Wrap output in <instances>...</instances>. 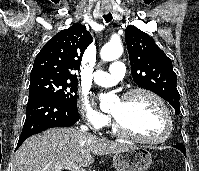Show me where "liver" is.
Returning a JSON list of instances; mask_svg holds the SVG:
<instances>
[{
    "label": "liver",
    "instance_id": "liver-1",
    "mask_svg": "<svg viewBox=\"0 0 199 171\" xmlns=\"http://www.w3.org/2000/svg\"><path fill=\"white\" fill-rule=\"evenodd\" d=\"M130 147L78 128H51L21 145L13 159V171H62L68 163L87 167L95 155L115 154Z\"/></svg>",
    "mask_w": 199,
    "mask_h": 171
}]
</instances>
